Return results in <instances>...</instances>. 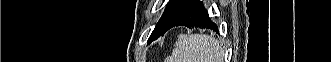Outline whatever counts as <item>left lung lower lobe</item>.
Listing matches in <instances>:
<instances>
[{
    "instance_id": "left-lung-lower-lobe-1",
    "label": "left lung lower lobe",
    "mask_w": 331,
    "mask_h": 62,
    "mask_svg": "<svg viewBox=\"0 0 331 62\" xmlns=\"http://www.w3.org/2000/svg\"><path fill=\"white\" fill-rule=\"evenodd\" d=\"M176 26H187L188 28L202 27L217 30L216 25L210 20L203 4L198 0H187L184 5L169 19L164 27L163 35ZM162 35V36H163ZM151 35L149 40H154Z\"/></svg>"
}]
</instances>
